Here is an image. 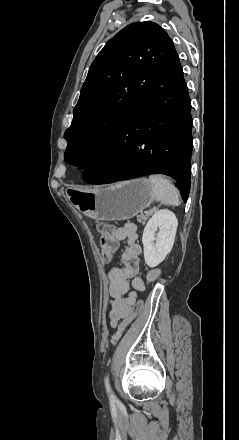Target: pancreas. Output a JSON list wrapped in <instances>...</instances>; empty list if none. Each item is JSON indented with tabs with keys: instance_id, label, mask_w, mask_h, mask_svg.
<instances>
[{
	"instance_id": "1",
	"label": "pancreas",
	"mask_w": 239,
	"mask_h": 440,
	"mask_svg": "<svg viewBox=\"0 0 239 440\" xmlns=\"http://www.w3.org/2000/svg\"><path fill=\"white\" fill-rule=\"evenodd\" d=\"M152 214H154V210H147V212H144V214H140V216H137V222H139V224H145L147 218H149V216H152Z\"/></svg>"
}]
</instances>
